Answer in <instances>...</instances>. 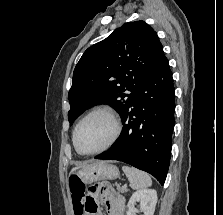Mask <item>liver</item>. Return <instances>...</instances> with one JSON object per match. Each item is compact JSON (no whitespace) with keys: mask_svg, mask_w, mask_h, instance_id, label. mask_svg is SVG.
Listing matches in <instances>:
<instances>
[{"mask_svg":"<svg viewBox=\"0 0 223 215\" xmlns=\"http://www.w3.org/2000/svg\"><path fill=\"white\" fill-rule=\"evenodd\" d=\"M88 163H82V165H78V167H73L71 169L70 173H73V171H76V169H79V167H87Z\"/></svg>","mask_w":223,"mask_h":215,"instance_id":"1","label":"liver"}]
</instances>
